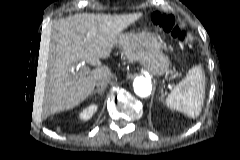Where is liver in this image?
Masks as SVG:
<instances>
[{
    "label": "liver",
    "instance_id": "6515ba94",
    "mask_svg": "<svg viewBox=\"0 0 240 160\" xmlns=\"http://www.w3.org/2000/svg\"><path fill=\"white\" fill-rule=\"evenodd\" d=\"M142 15L78 14L70 24L64 18L52 22L30 58L27 94L34 115L44 120L91 96L98 81L112 76L111 70L99 64L89 74L79 76L74 71L77 61L109 58L122 31Z\"/></svg>",
    "mask_w": 240,
    "mask_h": 160
}]
</instances>
